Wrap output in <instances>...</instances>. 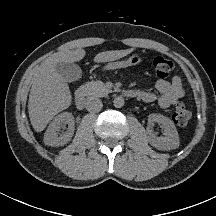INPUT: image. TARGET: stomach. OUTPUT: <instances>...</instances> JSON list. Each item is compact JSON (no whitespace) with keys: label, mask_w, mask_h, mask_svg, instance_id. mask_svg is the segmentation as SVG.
Returning a JSON list of instances; mask_svg holds the SVG:
<instances>
[{"label":"stomach","mask_w":216,"mask_h":216,"mask_svg":"<svg viewBox=\"0 0 216 216\" xmlns=\"http://www.w3.org/2000/svg\"><path fill=\"white\" fill-rule=\"evenodd\" d=\"M142 61L140 55L138 54H133L130 56L127 60L125 61H120V62H115L111 63L107 66V69H116V68H126L129 66H135L140 64Z\"/></svg>","instance_id":"0dacf381"}]
</instances>
